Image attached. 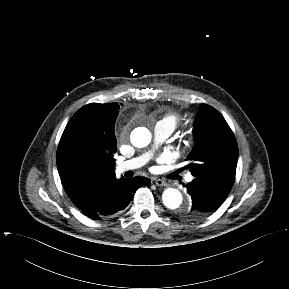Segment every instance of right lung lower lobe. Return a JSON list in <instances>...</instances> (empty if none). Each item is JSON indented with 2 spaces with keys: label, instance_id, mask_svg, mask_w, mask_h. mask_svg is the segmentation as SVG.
Wrapping results in <instances>:
<instances>
[{
  "label": "right lung lower lobe",
  "instance_id": "right-lung-lower-lobe-1",
  "mask_svg": "<svg viewBox=\"0 0 289 289\" xmlns=\"http://www.w3.org/2000/svg\"><path fill=\"white\" fill-rule=\"evenodd\" d=\"M150 184L145 177L131 179L121 178L101 188L96 194L95 205L88 210H81L93 219L111 217L124 210L130 203L136 190L142 185Z\"/></svg>",
  "mask_w": 289,
  "mask_h": 289
}]
</instances>
